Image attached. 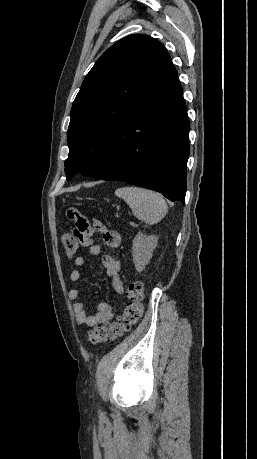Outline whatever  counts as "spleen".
<instances>
[{
  "label": "spleen",
  "mask_w": 257,
  "mask_h": 459,
  "mask_svg": "<svg viewBox=\"0 0 257 459\" xmlns=\"http://www.w3.org/2000/svg\"><path fill=\"white\" fill-rule=\"evenodd\" d=\"M116 196L122 198L131 208L133 215L147 224L159 222L168 212L163 196L145 188L127 186L118 188Z\"/></svg>",
  "instance_id": "obj_1"
}]
</instances>
